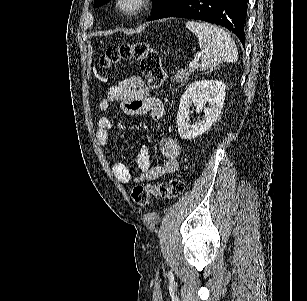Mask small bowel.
<instances>
[{"mask_svg":"<svg viewBox=\"0 0 307 301\" xmlns=\"http://www.w3.org/2000/svg\"><path fill=\"white\" fill-rule=\"evenodd\" d=\"M112 104H119L123 111L132 115L150 113L156 120L164 113L162 102L153 97L143 80L139 77H131L118 85L108 89L107 96L100 102L101 112H107ZM112 129V121L106 116L99 118L96 129V139L103 147L109 145V134ZM160 151L163 156L161 164L151 166L149 151L142 146L136 155V164L139 172L131 175L128 168L121 162L114 161L112 172L114 177L122 184L129 182L154 181L165 175L172 174L178 169L177 156L179 146L172 138H165L160 143Z\"/></svg>","mask_w":307,"mask_h":301,"instance_id":"small-bowel-1","label":"small bowel"}]
</instances>
